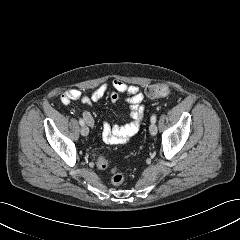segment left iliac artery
Wrapping results in <instances>:
<instances>
[{
  "instance_id": "left-iliac-artery-1",
  "label": "left iliac artery",
  "mask_w": 240,
  "mask_h": 240,
  "mask_svg": "<svg viewBox=\"0 0 240 240\" xmlns=\"http://www.w3.org/2000/svg\"><path fill=\"white\" fill-rule=\"evenodd\" d=\"M151 122H152V123H155V122H156V115H152V117H151Z\"/></svg>"
}]
</instances>
